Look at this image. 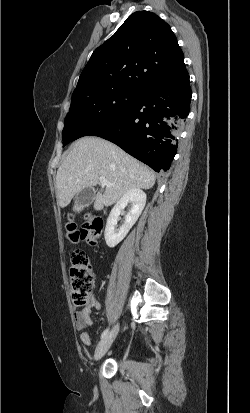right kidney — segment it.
I'll use <instances>...</instances> for the list:
<instances>
[{"label":"right kidney","instance_id":"1","mask_svg":"<svg viewBox=\"0 0 250 413\" xmlns=\"http://www.w3.org/2000/svg\"><path fill=\"white\" fill-rule=\"evenodd\" d=\"M128 204H131V210L127 213L124 224L116 230L115 228L117 226V221L121 211ZM145 204L146 194L139 188L129 190L120 198V200L112 208L107 219L104 233L107 246L113 248L126 237L129 230L141 215Z\"/></svg>","mask_w":250,"mask_h":413}]
</instances>
